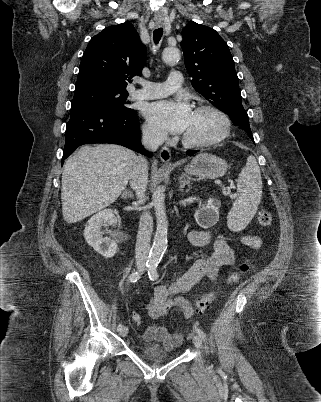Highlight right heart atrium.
Listing matches in <instances>:
<instances>
[{
  "instance_id": "right-heart-atrium-1",
  "label": "right heart atrium",
  "mask_w": 321,
  "mask_h": 402,
  "mask_svg": "<svg viewBox=\"0 0 321 402\" xmlns=\"http://www.w3.org/2000/svg\"><path fill=\"white\" fill-rule=\"evenodd\" d=\"M144 135L150 142H159L165 139V134L154 129L150 125H145L143 128Z\"/></svg>"
}]
</instances>
